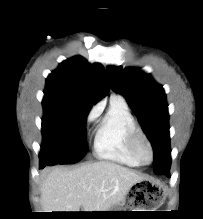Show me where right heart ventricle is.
I'll return each mask as SVG.
<instances>
[{
	"mask_svg": "<svg viewBox=\"0 0 203 219\" xmlns=\"http://www.w3.org/2000/svg\"><path fill=\"white\" fill-rule=\"evenodd\" d=\"M136 122L125 102L112 98L110 107L100 122L95 138V155L129 167L142 164L131 151L129 137Z\"/></svg>",
	"mask_w": 203,
	"mask_h": 219,
	"instance_id": "e07e8e85",
	"label": "right heart ventricle"
}]
</instances>
